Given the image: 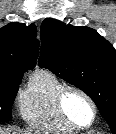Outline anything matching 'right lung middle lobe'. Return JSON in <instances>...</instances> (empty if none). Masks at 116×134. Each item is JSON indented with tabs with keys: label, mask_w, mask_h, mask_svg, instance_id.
Wrapping results in <instances>:
<instances>
[{
	"label": "right lung middle lobe",
	"mask_w": 116,
	"mask_h": 134,
	"mask_svg": "<svg viewBox=\"0 0 116 134\" xmlns=\"http://www.w3.org/2000/svg\"><path fill=\"white\" fill-rule=\"evenodd\" d=\"M20 82L0 84V122L12 120V104L18 91Z\"/></svg>",
	"instance_id": "right-lung-middle-lobe-1"
}]
</instances>
